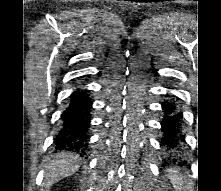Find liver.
Instances as JSON below:
<instances>
[{"label":"liver","instance_id":"liver-1","mask_svg":"<svg viewBox=\"0 0 221 191\" xmlns=\"http://www.w3.org/2000/svg\"><path fill=\"white\" fill-rule=\"evenodd\" d=\"M79 157L73 153L61 152L56 154L46 167L45 182L50 186L59 179L72 175L79 168Z\"/></svg>","mask_w":221,"mask_h":191}]
</instances>
